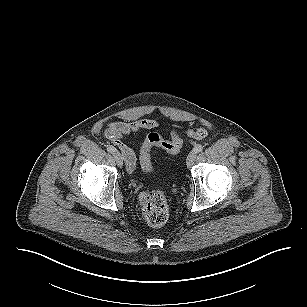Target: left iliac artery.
I'll list each match as a JSON object with an SVG mask.
<instances>
[{
    "label": "left iliac artery",
    "instance_id": "obj_1",
    "mask_svg": "<svg viewBox=\"0 0 307 307\" xmlns=\"http://www.w3.org/2000/svg\"><path fill=\"white\" fill-rule=\"evenodd\" d=\"M202 150H203V146L200 145V144L196 145V146L193 148V151H194L195 153H199V152H201Z\"/></svg>",
    "mask_w": 307,
    "mask_h": 307
}]
</instances>
